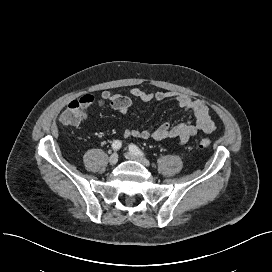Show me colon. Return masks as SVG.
<instances>
[{
    "label": "colon",
    "instance_id": "1",
    "mask_svg": "<svg viewBox=\"0 0 272 272\" xmlns=\"http://www.w3.org/2000/svg\"><path fill=\"white\" fill-rule=\"evenodd\" d=\"M198 145L200 148L205 149L210 146V141L208 139H201Z\"/></svg>",
    "mask_w": 272,
    "mask_h": 272
}]
</instances>
